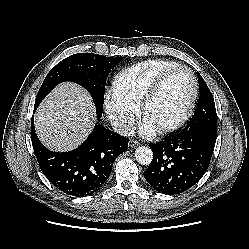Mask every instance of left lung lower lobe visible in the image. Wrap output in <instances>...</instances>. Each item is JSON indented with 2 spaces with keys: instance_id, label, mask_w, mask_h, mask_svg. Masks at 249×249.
<instances>
[{
  "instance_id": "obj_1",
  "label": "left lung lower lobe",
  "mask_w": 249,
  "mask_h": 249,
  "mask_svg": "<svg viewBox=\"0 0 249 249\" xmlns=\"http://www.w3.org/2000/svg\"><path fill=\"white\" fill-rule=\"evenodd\" d=\"M216 143V130L197 128L149 144L153 160L144 171L147 182L157 191L180 194L205 174Z\"/></svg>"
}]
</instances>
